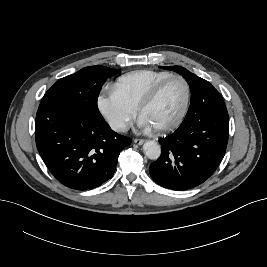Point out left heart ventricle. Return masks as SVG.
<instances>
[{"mask_svg":"<svg viewBox=\"0 0 267 267\" xmlns=\"http://www.w3.org/2000/svg\"><path fill=\"white\" fill-rule=\"evenodd\" d=\"M184 100V84L178 79H172L163 86L155 101L143 111L142 117L152 128L167 125L177 118Z\"/></svg>","mask_w":267,"mask_h":267,"instance_id":"b2bd125f","label":"left heart ventricle"}]
</instances>
